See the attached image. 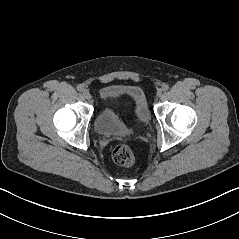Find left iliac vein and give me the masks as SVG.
Masks as SVG:
<instances>
[{"label":"left iliac vein","mask_w":239,"mask_h":239,"mask_svg":"<svg viewBox=\"0 0 239 239\" xmlns=\"http://www.w3.org/2000/svg\"><path fill=\"white\" fill-rule=\"evenodd\" d=\"M156 95H157V97H161V95H162V89H159V90L157 91Z\"/></svg>","instance_id":"1"}]
</instances>
